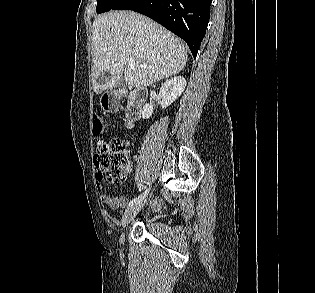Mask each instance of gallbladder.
Listing matches in <instances>:
<instances>
[{
    "mask_svg": "<svg viewBox=\"0 0 315 293\" xmlns=\"http://www.w3.org/2000/svg\"><path fill=\"white\" fill-rule=\"evenodd\" d=\"M117 76H118L117 73H111L109 70H105V71H103V73L101 74V76L99 77L98 80L101 84H105L107 81L111 82ZM121 81H122V79H120V82Z\"/></svg>",
    "mask_w": 315,
    "mask_h": 293,
    "instance_id": "gallbladder-1",
    "label": "gallbladder"
}]
</instances>
